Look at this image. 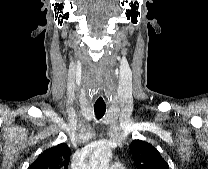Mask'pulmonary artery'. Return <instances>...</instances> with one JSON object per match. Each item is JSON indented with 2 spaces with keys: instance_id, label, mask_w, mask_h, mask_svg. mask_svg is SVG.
<instances>
[{
  "instance_id": "obj_1",
  "label": "pulmonary artery",
  "mask_w": 208,
  "mask_h": 169,
  "mask_svg": "<svg viewBox=\"0 0 208 169\" xmlns=\"http://www.w3.org/2000/svg\"><path fill=\"white\" fill-rule=\"evenodd\" d=\"M110 169H125V166L122 163H113L109 167Z\"/></svg>"
}]
</instances>
